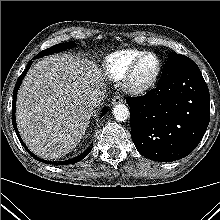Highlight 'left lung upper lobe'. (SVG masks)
Listing matches in <instances>:
<instances>
[{"mask_svg":"<svg viewBox=\"0 0 220 220\" xmlns=\"http://www.w3.org/2000/svg\"><path fill=\"white\" fill-rule=\"evenodd\" d=\"M186 56L177 54L176 52H171L168 54V59H184Z\"/></svg>","mask_w":220,"mask_h":220,"instance_id":"5c2ea615","label":"left lung upper lobe"}]
</instances>
